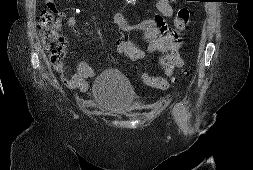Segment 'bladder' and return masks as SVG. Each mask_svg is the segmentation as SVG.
Masks as SVG:
<instances>
[{
    "instance_id": "1",
    "label": "bladder",
    "mask_w": 253,
    "mask_h": 170,
    "mask_svg": "<svg viewBox=\"0 0 253 170\" xmlns=\"http://www.w3.org/2000/svg\"><path fill=\"white\" fill-rule=\"evenodd\" d=\"M91 97L96 108L110 115L121 116L129 112L135 91L122 72L107 69L94 80Z\"/></svg>"
}]
</instances>
